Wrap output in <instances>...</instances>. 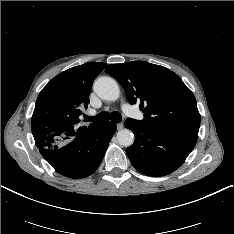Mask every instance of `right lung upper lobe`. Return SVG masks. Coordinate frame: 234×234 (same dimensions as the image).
<instances>
[{
  "label": "right lung upper lobe",
  "instance_id": "1",
  "mask_svg": "<svg viewBox=\"0 0 234 234\" xmlns=\"http://www.w3.org/2000/svg\"><path fill=\"white\" fill-rule=\"evenodd\" d=\"M105 63L89 62L54 77L40 92L31 119L36 146L58 148L96 123L80 126L81 108L87 107L95 77Z\"/></svg>",
  "mask_w": 234,
  "mask_h": 234
}]
</instances>
